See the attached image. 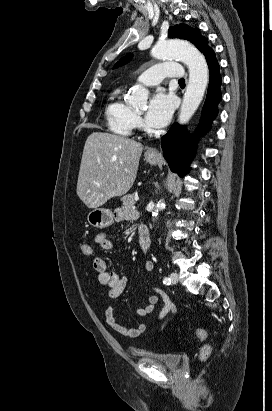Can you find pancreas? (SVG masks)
Masks as SVG:
<instances>
[{"mask_svg": "<svg viewBox=\"0 0 272 411\" xmlns=\"http://www.w3.org/2000/svg\"><path fill=\"white\" fill-rule=\"evenodd\" d=\"M134 197V194H127L123 196L121 199V210L130 209L135 204Z\"/></svg>", "mask_w": 272, "mask_h": 411, "instance_id": "1", "label": "pancreas"}]
</instances>
